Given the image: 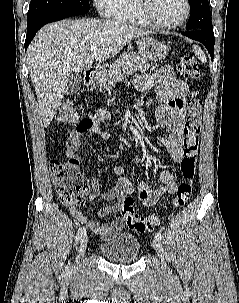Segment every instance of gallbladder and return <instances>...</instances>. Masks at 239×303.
Listing matches in <instances>:
<instances>
[{
  "instance_id": "1",
  "label": "gallbladder",
  "mask_w": 239,
  "mask_h": 303,
  "mask_svg": "<svg viewBox=\"0 0 239 303\" xmlns=\"http://www.w3.org/2000/svg\"><path fill=\"white\" fill-rule=\"evenodd\" d=\"M82 77L79 73L71 74L67 80L66 94L71 95L81 88Z\"/></svg>"
}]
</instances>
